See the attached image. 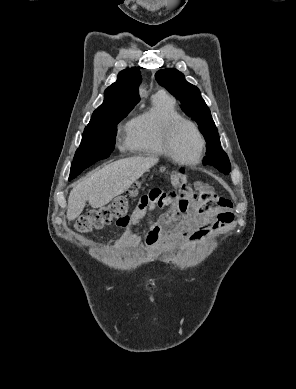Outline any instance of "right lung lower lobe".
<instances>
[{
	"mask_svg": "<svg viewBox=\"0 0 296 389\" xmlns=\"http://www.w3.org/2000/svg\"><path fill=\"white\" fill-rule=\"evenodd\" d=\"M87 167L88 166H82V167H79V168H76V169H72L70 171L69 180H71V179L75 178L76 176H78Z\"/></svg>",
	"mask_w": 296,
	"mask_h": 389,
	"instance_id": "98d812e1",
	"label": "right lung lower lobe"
}]
</instances>
